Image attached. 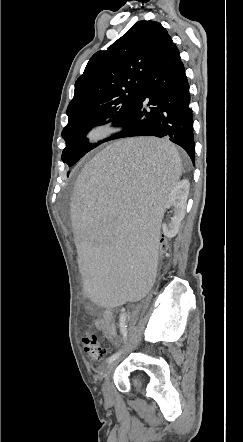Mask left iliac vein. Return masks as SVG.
<instances>
[{"label":"left iliac vein","instance_id":"4c4485c4","mask_svg":"<svg viewBox=\"0 0 243 442\" xmlns=\"http://www.w3.org/2000/svg\"><path fill=\"white\" fill-rule=\"evenodd\" d=\"M116 365H117V361L114 360L113 362H111L108 365V367L105 371V380L103 383L102 390H103L104 398L108 402H110L113 399V392H112L110 378H111V375H112Z\"/></svg>","mask_w":243,"mask_h":442}]
</instances>
